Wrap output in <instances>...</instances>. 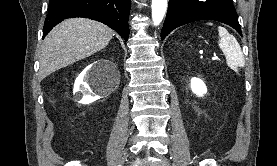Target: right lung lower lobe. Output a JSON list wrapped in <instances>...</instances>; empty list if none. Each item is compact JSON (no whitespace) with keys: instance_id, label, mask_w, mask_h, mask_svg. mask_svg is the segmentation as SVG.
<instances>
[{"instance_id":"1","label":"right lung lower lobe","mask_w":277,"mask_h":166,"mask_svg":"<svg viewBox=\"0 0 277 166\" xmlns=\"http://www.w3.org/2000/svg\"><path fill=\"white\" fill-rule=\"evenodd\" d=\"M130 7L131 0H50L43 38L65 18L84 17L108 25L127 41Z\"/></svg>"}]
</instances>
